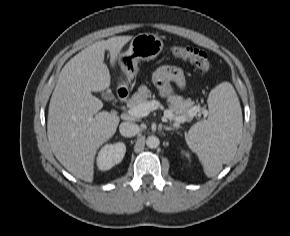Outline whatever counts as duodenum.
I'll use <instances>...</instances> for the list:
<instances>
[{
	"label": "duodenum",
	"instance_id": "1",
	"mask_svg": "<svg viewBox=\"0 0 290 236\" xmlns=\"http://www.w3.org/2000/svg\"><path fill=\"white\" fill-rule=\"evenodd\" d=\"M118 99L120 103H124L128 99V92L124 89H119L118 92Z\"/></svg>",
	"mask_w": 290,
	"mask_h": 236
}]
</instances>
